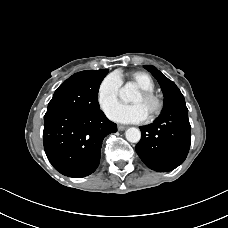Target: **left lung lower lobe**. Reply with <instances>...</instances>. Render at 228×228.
I'll use <instances>...</instances> for the list:
<instances>
[{
    "label": "left lung lower lobe",
    "instance_id": "0a47b994",
    "mask_svg": "<svg viewBox=\"0 0 228 228\" xmlns=\"http://www.w3.org/2000/svg\"><path fill=\"white\" fill-rule=\"evenodd\" d=\"M140 129L141 140L135 150L150 169L168 172L184 162L191 142L185 100L165 107L153 123Z\"/></svg>",
    "mask_w": 228,
    "mask_h": 228
}]
</instances>
